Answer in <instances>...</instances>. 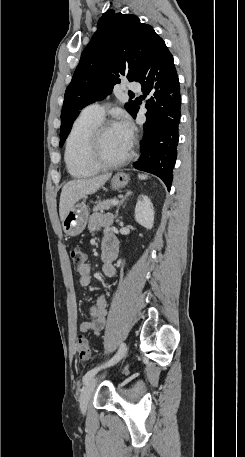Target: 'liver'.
<instances>
[{
	"label": "liver",
	"mask_w": 245,
	"mask_h": 457,
	"mask_svg": "<svg viewBox=\"0 0 245 457\" xmlns=\"http://www.w3.org/2000/svg\"><path fill=\"white\" fill-rule=\"evenodd\" d=\"M112 172L108 174H100V176H94V178H80V180H68L64 184L60 196L59 212L60 218L63 222L66 214H68L70 208L74 206L77 200L84 198L86 194H92L96 192L102 184H105L106 180L110 178Z\"/></svg>",
	"instance_id": "obj_1"
}]
</instances>
